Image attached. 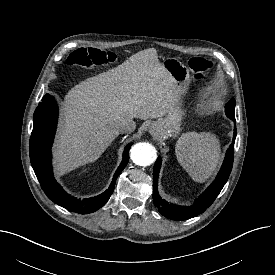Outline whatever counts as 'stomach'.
I'll use <instances>...</instances> for the list:
<instances>
[{
    "label": "stomach",
    "mask_w": 275,
    "mask_h": 275,
    "mask_svg": "<svg viewBox=\"0 0 275 275\" xmlns=\"http://www.w3.org/2000/svg\"><path fill=\"white\" fill-rule=\"evenodd\" d=\"M163 66L168 71L175 83L178 94L183 96L190 84L189 69L176 58H166ZM183 111L178 103L164 118H159L154 125L157 126V133L164 136H175L181 126Z\"/></svg>",
    "instance_id": "0dacf381"
}]
</instances>
